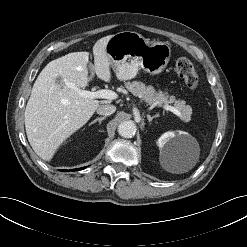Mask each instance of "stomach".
I'll list each match as a JSON object with an SVG mask.
<instances>
[{
    "label": "stomach",
    "mask_w": 247,
    "mask_h": 247,
    "mask_svg": "<svg viewBox=\"0 0 247 247\" xmlns=\"http://www.w3.org/2000/svg\"><path fill=\"white\" fill-rule=\"evenodd\" d=\"M106 52L110 66L120 80L134 78L140 68L150 74H159L166 68L171 56V49L166 43L149 41L132 31L114 34L107 43Z\"/></svg>",
    "instance_id": "0dacf381"
}]
</instances>
